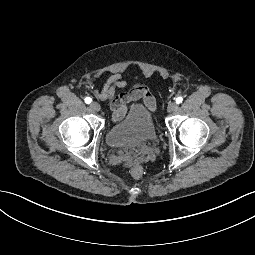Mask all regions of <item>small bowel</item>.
<instances>
[{
	"label": "small bowel",
	"mask_w": 255,
	"mask_h": 255,
	"mask_svg": "<svg viewBox=\"0 0 255 255\" xmlns=\"http://www.w3.org/2000/svg\"><path fill=\"white\" fill-rule=\"evenodd\" d=\"M127 81L121 73H111L101 90H94L95 96L103 102H106L112 111L113 122L121 119L128 110V104L131 101L142 99L144 104L151 110L155 111L156 102L148 88L144 85L137 84L128 92L117 94V89L124 88ZM154 154L145 147H137L117 152L111 159L114 164L124 167H130L134 164L151 162Z\"/></svg>",
	"instance_id": "c3829d8e"
}]
</instances>
